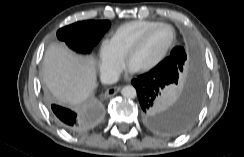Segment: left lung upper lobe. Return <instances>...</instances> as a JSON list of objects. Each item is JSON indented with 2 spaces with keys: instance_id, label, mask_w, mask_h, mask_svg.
<instances>
[{
  "instance_id": "left-lung-upper-lobe-1",
  "label": "left lung upper lobe",
  "mask_w": 244,
  "mask_h": 157,
  "mask_svg": "<svg viewBox=\"0 0 244 157\" xmlns=\"http://www.w3.org/2000/svg\"><path fill=\"white\" fill-rule=\"evenodd\" d=\"M187 63L188 59L184 48L176 47L172 50L169 57L165 58L153 69L179 78L184 68H187Z\"/></svg>"
}]
</instances>
